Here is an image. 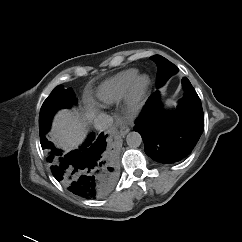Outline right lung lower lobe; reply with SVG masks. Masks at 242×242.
<instances>
[{
  "mask_svg": "<svg viewBox=\"0 0 242 242\" xmlns=\"http://www.w3.org/2000/svg\"><path fill=\"white\" fill-rule=\"evenodd\" d=\"M41 146L53 176L70 192L86 199L107 193L115 182L113 163L105 156L106 136L90 134L78 149L63 153L44 136Z\"/></svg>",
  "mask_w": 242,
  "mask_h": 242,
  "instance_id": "1",
  "label": "right lung lower lobe"
}]
</instances>
